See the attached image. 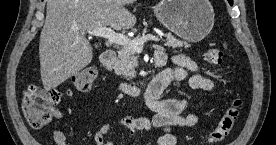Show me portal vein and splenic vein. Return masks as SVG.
Segmentation results:
<instances>
[{"mask_svg":"<svg viewBox=\"0 0 276 145\" xmlns=\"http://www.w3.org/2000/svg\"><path fill=\"white\" fill-rule=\"evenodd\" d=\"M88 34L91 36H97L107 39L109 42L117 44V45H123L128 46L135 51H141L143 49V45L146 41L152 40L155 42H158L159 39L155 37L154 35L147 34L145 36H142L141 38L131 39L126 35L116 33L111 28L106 27H98L93 30L88 31Z\"/></svg>","mask_w":276,"mask_h":145,"instance_id":"18ae733b","label":"portal vein and splenic vein"}]
</instances>
